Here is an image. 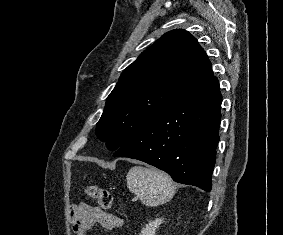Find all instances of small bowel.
Masks as SVG:
<instances>
[{
  "label": "small bowel",
  "instance_id": "c3829d8e",
  "mask_svg": "<svg viewBox=\"0 0 283 235\" xmlns=\"http://www.w3.org/2000/svg\"><path fill=\"white\" fill-rule=\"evenodd\" d=\"M69 213L75 235H86L89 228L96 223L109 231L119 229L123 225L122 218L87 204L72 205Z\"/></svg>",
  "mask_w": 283,
  "mask_h": 235
}]
</instances>
